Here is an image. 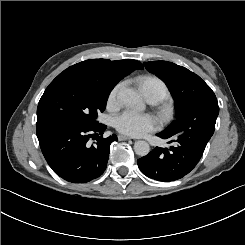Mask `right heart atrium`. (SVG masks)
<instances>
[{"instance_id":"obj_1","label":"right heart atrium","mask_w":245,"mask_h":245,"mask_svg":"<svg viewBox=\"0 0 245 245\" xmlns=\"http://www.w3.org/2000/svg\"><path fill=\"white\" fill-rule=\"evenodd\" d=\"M120 87H121V84H117L110 91V93L108 95V99H107V106L108 107L111 108V107H114L117 104Z\"/></svg>"}]
</instances>
